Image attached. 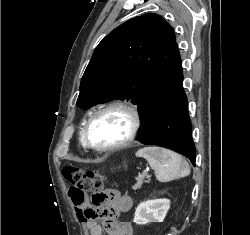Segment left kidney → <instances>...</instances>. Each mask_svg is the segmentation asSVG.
I'll return each instance as SVG.
<instances>
[{
    "mask_svg": "<svg viewBox=\"0 0 250 235\" xmlns=\"http://www.w3.org/2000/svg\"><path fill=\"white\" fill-rule=\"evenodd\" d=\"M169 208L170 200L168 199L147 200L136 208L133 222L138 225L163 222Z\"/></svg>",
    "mask_w": 250,
    "mask_h": 235,
    "instance_id": "1",
    "label": "left kidney"
}]
</instances>
